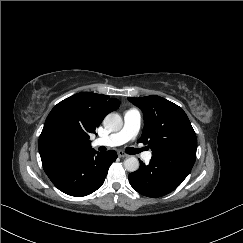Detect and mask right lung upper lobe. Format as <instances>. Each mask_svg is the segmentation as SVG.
<instances>
[{"mask_svg": "<svg viewBox=\"0 0 243 243\" xmlns=\"http://www.w3.org/2000/svg\"><path fill=\"white\" fill-rule=\"evenodd\" d=\"M118 107L119 101L115 98L103 94L81 92L59 102L46 120L59 118L75 129L79 140L72 156L80 155L92 150L89 135L95 133L104 117Z\"/></svg>", "mask_w": 243, "mask_h": 243, "instance_id": "obj_1", "label": "right lung upper lobe"}]
</instances>
